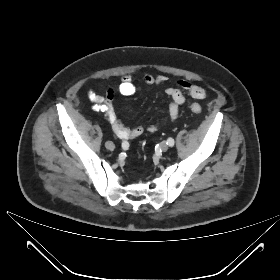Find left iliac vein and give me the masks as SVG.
I'll return each instance as SVG.
<instances>
[{"label":"left iliac vein","instance_id":"obj_1","mask_svg":"<svg viewBox=\"0 0 280 280\" xmlns=\"http://www.w3.org/2000/svg\"><path fill=\"white\" fill-rule=\"evenodd\" d=\"M168 149H169L168 144H167L165 141H163V142L161 143V150H162L163 152H166Z\"/></svg>","mask_w":280,"mask_h":280}]
</instances>
